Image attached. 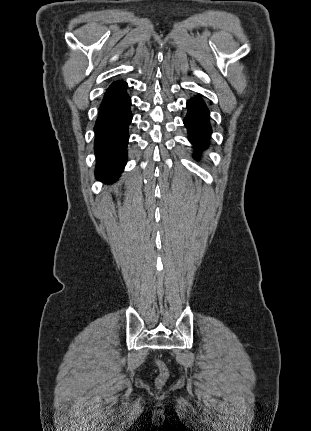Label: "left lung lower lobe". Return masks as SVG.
<instances>
[{"label":"left lung lower lobe","mask_w":311,"mask_h":431,"mask_svg":"<svg viewBox=\"0 0 311 431\" xmlns=\"http://www.w3.org/2000/svg\"><path fill=\"white\" fill-rule=\"evenodd\" d=\"M187 108L188 114L184 119V124L188 129L189 140L202 149L208 144L211 134L209 111L200 97L189 100Z\"/></svg>","instance_id":"obj_1"}]
</instances>
